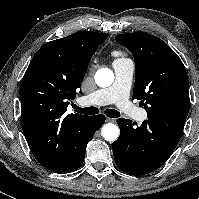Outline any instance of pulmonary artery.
Returning a JSON list of instances; mask_svg holds the SVG:
<instances>
[{"label": "pulmonary artery", "mask_w": 199, "mask_h": 199, "mask_svg": "<svg viewBox=\"0 0 199 199\" xmlns=\"http://www.w3.org/2000/svg\"><path fill=\"white\" fill-rule=\"evenodd\" d=\"M115 80L112 86L79 98L80 104H116L122 111L138 121H144L147 113L136 108L129 101V93L134 75V63L129 59H116L113 62Z\"/></svg>", "instance_id": "obj_1"}]
</instances>
